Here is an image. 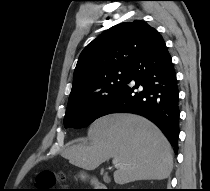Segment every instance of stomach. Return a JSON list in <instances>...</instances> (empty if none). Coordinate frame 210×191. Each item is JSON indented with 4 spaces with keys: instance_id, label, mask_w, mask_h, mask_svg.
Segmentation results:
<instances>
[{
    "instance_id": "obj_1",
    "label": "stomach",
    "mask_w": 210,
    "mask_h": 191,
    "mask_svg": "<svg viewBox=\"0 0 210 191\" xmlns=\"http://www.w3.org/2000/svg\"><path fill=\"white\" fill-rule=\"evenodd\" d=\"M80 176H81V179H82V180H85V179L87 178L86 174H84V173H81Z\"/></svg>"
}]
</instances>
